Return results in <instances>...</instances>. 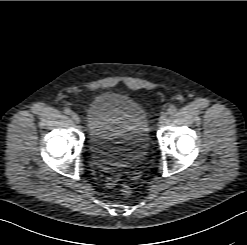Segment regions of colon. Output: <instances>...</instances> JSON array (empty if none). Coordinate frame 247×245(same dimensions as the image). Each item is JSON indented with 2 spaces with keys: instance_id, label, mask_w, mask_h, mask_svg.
I'll use <instances>...</instances> for the list:
<instances>
[{
  "instance_id": "5ec220e1",
  "label": "colon",
  "mask_w": 247,
  "mask_h": 245,
  "mask_svg": "<svg viewBox=\"0 0 247 245\" xmlns=\"http://www.w3.org/2000/svg\"><path fill=\"white\" fill-rule=\"evenodd\" d=\"M121 193L123 196L128 197L132 194V188L128 184H123L121 186Z\"/></svg>"
}]
</instances>
